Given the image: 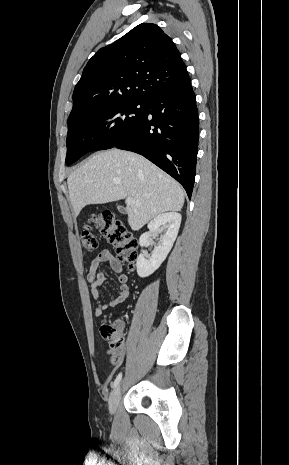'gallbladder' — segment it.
<instances>
[{"label": "gallbladder", "instance_id": "bac80fb5", "mask_svg": "<svg viewBox=\"0 0 289 465\" xmlns=\"http://www.w3.org/2000/svg\"><path fill=\"white\" fill-rule=\"evenodd\" d=\"M118 210H120L121 212H123V208H122V207H118Z\"/></svg>", "mask_w": 289, "mask_h": 465}]
</instances>
